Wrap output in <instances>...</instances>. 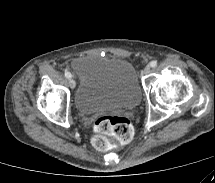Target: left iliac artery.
<instances>
[{
	"label": "left iliac artery",
	"mask_w": 215,
	"mask_h": 183,
	"mask_svg": "<svg viewBox=\"0 0 215 183\" xmlns=\"http://www.w3.org/2000/svg\"><path fill=\"white\" fill-rule=\"evenodd\" d=\"M150 66L151 67H156L157 66V61H151Z\"/></svg>",
	"instance_id": "1"
}]
</instances>
